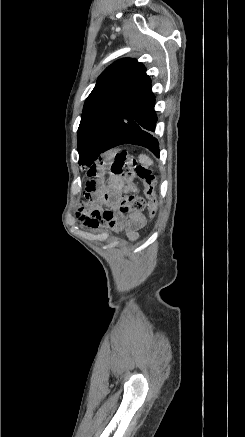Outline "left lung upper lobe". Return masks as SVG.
Listing matches in <instances>:
<instances>
[{
  "instance_id": "1",
  "label": "left lung upper lobe",
  "mask_w": 245,
  "mask_h": 437,
  "mask_svg": "<svg viewBox=\"0 0 245 437\" xmlns=\"http://www.w3.org/2000/svg\"><path fill=\"white\" fill-rule=\"evenodd\" d=\"M149 76L136 59L123 58L108 66L87 97L77 135L79 164L92 166L103 143Z\"/></svg>"
}]
</instances>
